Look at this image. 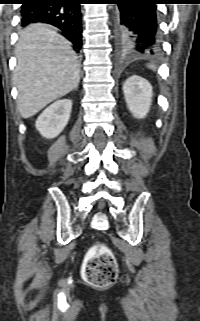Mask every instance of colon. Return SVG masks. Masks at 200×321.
I'll return each instance as SVG.
<instances>
[{
    "instance_id": "5ec220e1",
    "label": "colon",
    "mask_w": 200,
    "mask_h": 321,
    "mask_svg": "<svg viewBox=\"0 0 200 321\" xmlns=\"http://www.w3.org/2000/svg\"><path fill=\"white\" fill-rule=\"evenodd\" d=\"M83 275L87 282L95 286L112 283L117 276V265L110 249L103 245L93 246L86 257Z\"/></svg>"
}]
</instances>
